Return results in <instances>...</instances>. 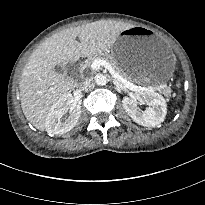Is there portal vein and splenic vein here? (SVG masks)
I'll list each match as a JSON object with an SVG mask.
<instances>
[{"mask_svg": "<svg viewBox=\"0 0 205 205\" xmlns=\"http://www.w3.org/2000/svg\"><path fill=\"white\" fill-rule=\"evenodd\" d=\"M100 67H104L106 68L109 73L115 78L118 79L119 81H121L122 83L126 84L127 86H129L131 89H140L141 87L135 86L133 83L128 82L127 80H125L124 78H122L118 73L115 72V70L112 68V66L105 60L102 59H95L92 64H91V68L93 70H98L100 69Z\"/></svg>", "mask_w": 205, "mask_h": 205, "instance_id": "obj_1", "label": "portal vein and splenic vein"}]
</instances>
